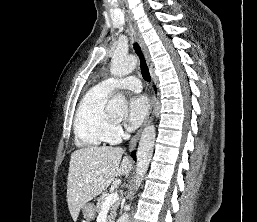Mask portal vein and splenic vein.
<instances>
[{
  "label": "portal vein and splenic vein",
  "instance_id": "1",
  "mask_svg": "<svg viewBox=\"0 0 257 222\" xmlns=\"http://www.w3.org/2000/svg\"><path fill=\"white\" fill-rule=\"evenodd\" d=\"M119 199L118 194L117 193H112L110 195H108L105 200L104 203L102 205V208H108L111 205H113L115 202H117V200Z\"/></svg>",
  "mask_w": 257,
  "mask_h": 222
}]
</instances>
